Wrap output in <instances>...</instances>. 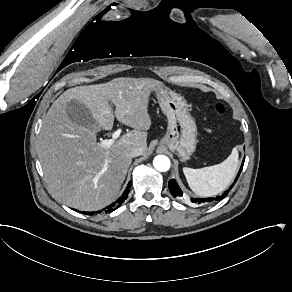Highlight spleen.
<instances>
[{
	"mask_svg": "<svg viewBox=\"0 0 292 292\" xmlns=\"http://www.w3.org/2000/svg\"><path fill=\"white\" fill-rule=\"evenodd\" d=\"M238 150L232 149L231 154L222 163L200 169L183 168L189 187L200 197H210L225 190L235 177L238 167Z\"/></svg>",
	"mask_w": 292,
	"mask_h": 292,
	"instance_id": "obj_1",
	"label": "spleen"
}]
</instances>
